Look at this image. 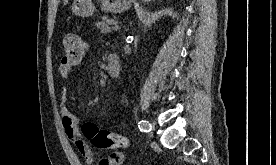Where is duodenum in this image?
<instances>
[{"label": "duodenum", "mask_w": 276, "mask_h": 165, "mask_svg": "<svg viewBox=\"0 0 276 165\" xmlns=\"http://www.w3.org/2000/svg\"><path fill=\"white\" fill-rule=\"evenodd\" d=\"M107 70L111 77H116L119 75V73L121 71V63L117 56L111 55L108 58Z\"/></svg>", "instance_id": "duodenum-1"}]
</instances>
